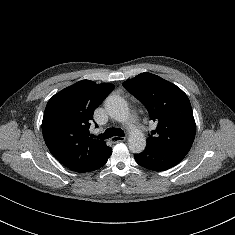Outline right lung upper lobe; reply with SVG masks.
I'll use <instances>...</instances> for the list:
<instances>
[{"label": "right lung upper lobe", "mask_w": 235, "mask_h": 235, "mask_svg": "<svg viewBox=\"0 0 235 235\" xmlns=\"http://www.w3.org/2000/svg\"><path fill=\"white\" fill-rule=\"evenodd\" d=\"M114 86L79 81L50 98L45 108L42 132L53 156L67 168L83 172L108 147L104 141L89 138L96 107Z\"/></svg>", "instance_id": "right-lung-upper-lobe-1"}]
</instances>
